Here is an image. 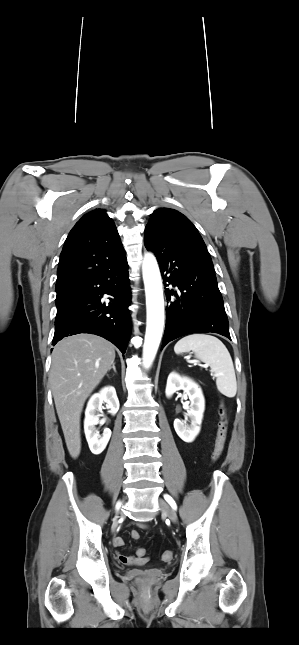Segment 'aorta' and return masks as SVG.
Masks as SVG:
<instances>
[{
	"label": "aorta",
	"instance_id": "1",
	"mask_svg": "<svg viewBox=\"0 0 299 645\" xmlns=\"http://www.w3.org/2000/svg\"><path fill=\"white\" fill-rule=\"evenodd\" d=\"M146 294L147 326L143 363L149 368L156 356L164 326V298L160 270L153 254L147 253L142 264Z\"/></svg>",
	"mask_w": 299,
	"mask_h": 645
}]
</instances>
